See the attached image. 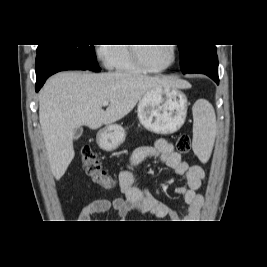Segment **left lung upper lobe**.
<instances>
[{
  "instance_id": "1",
  "label": "left lung upper lobe",
  "mask_w": 267,
  "mask_h": 267,
  "mask_svg": "<svg viewBox=\"0 0 267 267\" xmlns=\"http://www.w3.org/2000/svg\"><path fill=\"white\" fill-rule=\"evenodd\" d=\"M181 58V70L185 73L199 59L216 54L215 45H178Z\"/></svg>"
}]
</instances>
